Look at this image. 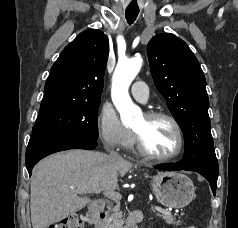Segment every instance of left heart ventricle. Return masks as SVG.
Instances as JSON below:
<instances>
[{"label": "left heart ventricle", "mask_w": 238, "mask_h": 228, "mask_svg": "<svg viewBox=\"0 0 238 228\" xmlns=\"http://www.w3.org/2000/svg\"><path fill=\"white\" fill-rule=\"evenodd\" d=\"M149 152L157 156H168L177 147V136L172 124L165 119L150 120L141 116L133 126Z\"/></svg>", "instance_id": "obj_1"}]
</instances>
